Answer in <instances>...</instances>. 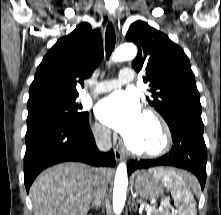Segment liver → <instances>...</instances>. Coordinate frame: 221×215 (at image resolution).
<instances>
[{
    "label": "liver",
    "instance_id": "obj_1",
    "mask_svg": "<svg viewBox=\"0 0 221 215\" xmlns=\"http://www.w3.org/2000/svg\"><path fill=\"white\" fill-rule=\"evenodd\" d=\"M111 169L62 163L44 170L30 188L34 215H87L97 177L106 184Z\"/></svg>",
    "mask_w": 221,
    "mask_h": 215
}]
</instances>
